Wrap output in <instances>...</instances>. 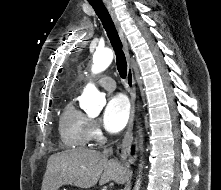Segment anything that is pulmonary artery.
Wrapping results in <instances>:
<instances>
[{"label": "pulmonary artery", "instance_id": "obj_1", "mask_svg": "<svg viewBox=\"0 0 221 190\" xmlns=\"http://www.w3.org/2000/svg\"><path fill=\"white\" fill-rule=\"evenodd\" d=\"M99 84L106 90L112 91L115 89V81L108 76L100 77Z\"/></svg>", "mask_w": 221, "mask_h": 190}]
</instances>
